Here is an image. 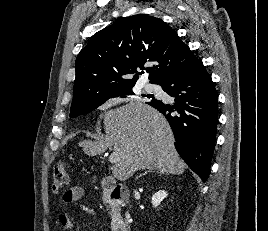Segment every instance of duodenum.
<instances>
[{
	"label": "duodenum",
	"mask_w": 268,
	"mask_h": 231,
	"mask_svg": "<svg viewBox=\"0 0 268 231\" xmlns=\"http://www.w3.org/2000/svg\"><path fill=\"white\" fill-rule=\"evenodd\" d=\"M102 191L110 204L112 231H126L124 217L121 213V204L128 201V192L113 178L106 177L102 181Z\"/></svg>",
	"instance_id": "obj_1"
}]
</instances>
